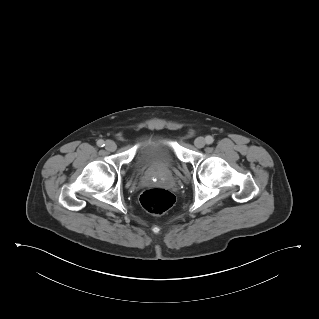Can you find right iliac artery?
Segmentation results:
<instances>
[{
  "label": "right iliac artery",
  "instance_id": "82829eb1",
  "mask_svg": "<svg viewBox=\"0 0 319 319\" xmlns=\"http://www.w3.org/2000/svg\"><path fill=\"white\" fill-rule=\"evenodd\" d=\"M97 145L99 147H103V146H105V142L103 140H98Z\"/></svg>",
  "mask_w": 319,
  "mask_h": 319
}]
</instances>
